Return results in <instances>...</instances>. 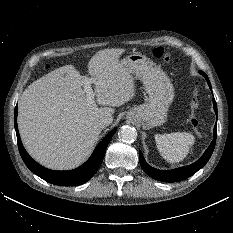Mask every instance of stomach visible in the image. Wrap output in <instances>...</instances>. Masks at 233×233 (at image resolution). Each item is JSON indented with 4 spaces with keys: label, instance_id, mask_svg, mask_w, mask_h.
Instances as JSON below:
<instances>
[{
    "label": "stomach",
    "instance_id": "1",
    "mask_svg": "<svg viewBox=\"0 0 233 233\" xmlns=\"http://www.w3.org/2000/svg\"><path fill=\"white\" fill-rule=\"evenodd\" d=\"M121 62L131 74L142 81L148 95L146 103L131 108L126 118L137 121L144 129L165 123L168 109L174 99V87L169 77L153 61L140 53L131 54Z\"/></svg>",
    "mask_w": 233,
    "mask_h": 233
}]
</instances>
